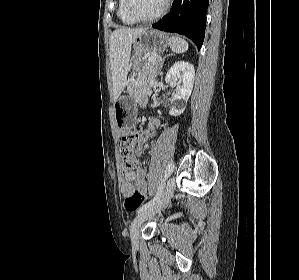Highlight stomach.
Here are the masks:
<instances>
[{
	"instance_id": "obj_1",
	"label": "stomach",
	"mask_w": 299,
	"mask_h": 280,
	"mask_svg": "<svg viewBox=\"0 0 299 280\" xmlns=\"http://www.w3.org/2000/svg\"><path fill=\"white\" fill-rule=\"evenodd\" d=\"M134 56L129 65V70L133 78H138L142 73L144 60L141 56L145 53H161L169 45L168 37L156 30H147L139 35L132 43ZM138 92H134L136 94ZM134 96L120 97L114 105V113L117 126L121 129L131 128L134 124Z\"/></svg>"
}]
</instances>
